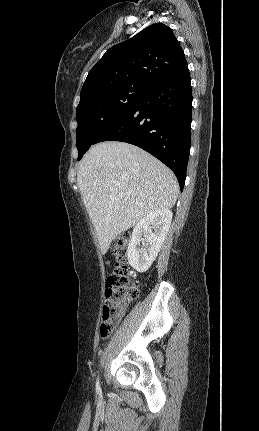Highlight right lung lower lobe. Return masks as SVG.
<instances>
[{
	"label": "right lung lower lobe",
	"instance_id": "98d812e1",
	"mask_svg": "<svg viewBox=\"0 0 259 431\" xmlns=\"http://www.w3.org/2000/svg\"><path fill=\"white\" fill-rule=\"evenodd\" d=\"M191 110L187 67L151 86L95 144L115 140L146 150L172 169L183 190L190 151Z\"/></svg>",
	"mask_w": 259,
	"mask_h": 431
}]
</instances>
